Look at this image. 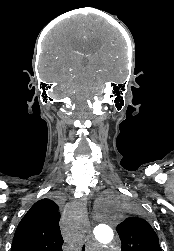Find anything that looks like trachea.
Listing matches in <instances>:
<instances>
[{
	"instance_id": "trachea-1",
	"label": "trachea",
	"mask_w": 174,
	"mask_h": 251,
	"mask_svg": "<svg viewBox=\"0 0 174 251\" xmlns=\"http://www.w3.org/2000/svg\"><path fill=\"white\" fill-rule=\"evenodd\" d=\"M82 251H85V247L84 246L82 247Z\"/></svg>"
}]
</instances>
